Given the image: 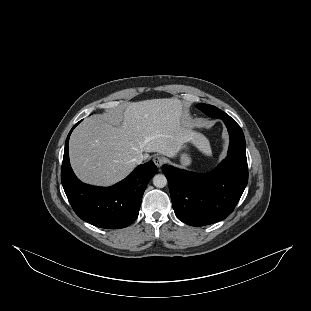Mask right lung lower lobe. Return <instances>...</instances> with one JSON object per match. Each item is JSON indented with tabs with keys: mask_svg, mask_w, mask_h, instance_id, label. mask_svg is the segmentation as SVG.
I'll list each match as a JSON object with an SVG mask.
<instances>
[{
	"mask_svg": "<svg viewBox=\"0 0 311 311\" xmlns=\"http://www.w3.org/2000/svg\"><path fill=\"white\" fill-rule=\"evenodd\" d=\"M80 122L65 142L61 181L66 196L82 220L106 229L127 227L137 218L143 193L157 167L152 161L139 165L124 180L107 188L82 183L70 166L68 153L70 134Z\"/></svg>",
	"mask_w": 311,
	"mask_h": 311,
	"instance_id": "obj_1",
	"label": "right lung lower lobe"
}]
</instances>
